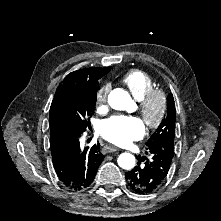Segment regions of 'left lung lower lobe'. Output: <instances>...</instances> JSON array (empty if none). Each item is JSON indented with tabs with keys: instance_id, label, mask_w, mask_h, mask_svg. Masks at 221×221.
I'll use <instances>...</instances> for the list:
<instances>
[{
	"instance_id": "obj_1",
	"label": "left lung lower lobe",
	"mask_w": 221,
	"mask_h": 221,
	"mask_svg": "<svg viewBox=\"0 0 221 221\" xmlns=\"http://www.w3.org/2000/svg\"><path fill=\"white\" fill-rule=\"evenodd\" d=\"M147 150L152 160L145 157L147 161L144 162V158L139 156L138 165L125 174L130 188L139 194L151 193L164 183L174 155V149L166 144Z\"/></svg>"
}]
</instances>
